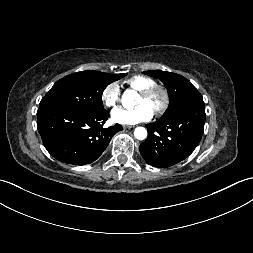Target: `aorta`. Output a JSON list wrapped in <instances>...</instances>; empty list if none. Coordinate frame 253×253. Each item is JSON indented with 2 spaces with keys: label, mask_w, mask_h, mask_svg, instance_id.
I'll return each mask as SVG.
<instances>
[{
  "label": "aorta",
  "mask_w": 253,
  "mask_h": 253,
  "mask_svg": "<svg viewBox=\"0 0 253 253\" xmlns=\"http://www.w3.org/2000/svg\"><path fill=\"white\" fill-rule=\"evenodd\" d=\"M137 92L134 90H126L122 96V105L125 108H132L135 105ZM134 136L138 140H144L147 137V130L144 127H137L134 130Z\"/></svg>",
  "instance_id": "aorta-1"
}]
</instances>
